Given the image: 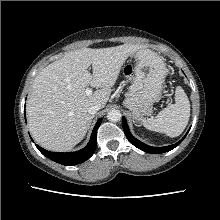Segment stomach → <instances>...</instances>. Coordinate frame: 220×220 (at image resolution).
Here are the masks:
<instances>
[{
    "instance_id": "obj_1",
    "label": "stomach",
    "mask_w": 220,
    "mask_h": 220,
    "mask_svg": "<svg viewBox=\"0 0 220 220\" xmlns=\"http://www.w3.org/2000/svg\"><path fill=\"white\" fill-rule=\"evenodd\" d=\"M135 57V77L123 103L139 120L160 99L167 70L162 58L149 49L138 50Z\"/></svg>"
}]
</instances>
